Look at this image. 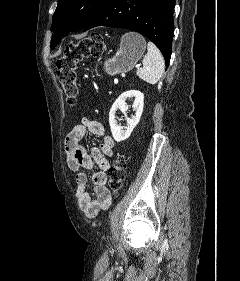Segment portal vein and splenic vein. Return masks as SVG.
Returning a JSON list of instances; mask_svg holds the SVG:
<instances>
[{
	"mask_svg": "<svg viewBox=\"0 0 240 281\" xmlns=\"http://www.w3.org/2000/svg\"><path fill=\"white\" fill-rule=\"evenodd\" d=\"M136 67L139 68L140 66L138 65V66H136ZM114 83H115V84H118V79H117V78L114 79Z\"/></svg>",
	"mask_w": 240,
	"mask_h": 281,
	"instance_id": "1",
	"label": "portal vein and splenic vein"
}]
</instances>
